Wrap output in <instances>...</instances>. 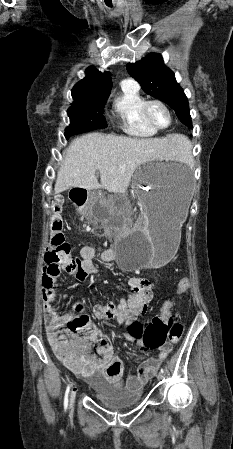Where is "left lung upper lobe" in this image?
Returning a JSON list of instances; mask_svg holds the SVG:
<instances>
[{"mask_svg":"<svg viewBox=\"0 0 233 449\" xmlns=\"http://www.w3.org/2000/svg\"><path fill=\"white\" fill-rule=\"evenodd\" d=\"M127 71L147 94L170 105L180 121L192 128L187 97L160 54L150 53L140 61L128 64Z\"/></svg>","mask_w":233,"mask_h":449,"instance_id":"5c2ea615","label":"left lung upper lobe"}]
</instances>
